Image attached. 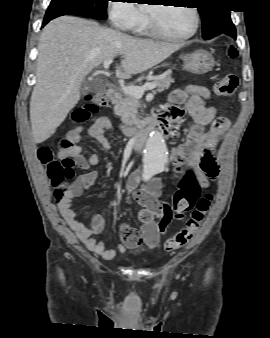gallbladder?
Wrapping results in <instances>:
<instances>
[{
	"mask_svg": "<svg viewBox=\"0 0 270 338\" xmlns=\"http://www.w3.org/2000/svg\"><path fill=\"white\" fill-rule=\"evenodd\" d=\"M105 87L96 81H85L83 84V94L103 92Z\"/></svg>",
	"mask_w": 270,
	"mask_h": 338,
	"instance_id": "gallbladder-1",
	"label": "gallbladder"
}]
</instances>
